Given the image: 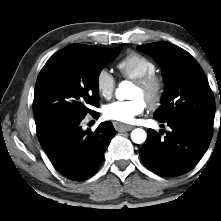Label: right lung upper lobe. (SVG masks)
Wrapping results in <instances>:
<instances>
[{
  "label": "right lung upper lobe",
  "instance_id": "obj_1",
  "mask_svg": "<svg viewBox=\"0 0 221 221\" xmlns=\"http://www.w3.org/2000/svg\"><path fill=\"white\" fill-rule=\"evenodd\" d=\"M66 48L70 49H76V50H109L108 48H102V47H97V46H92V45H83V44H72L67 46Z\"/></svg>",
  "mask_w": 221,
  "mask_h": 221
}]
</instances>
